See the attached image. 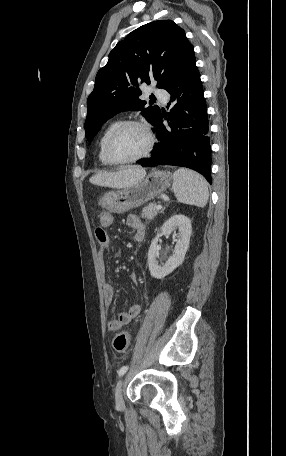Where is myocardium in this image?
I'll return each instance as SVG.
<instances>
[{"instance_id": "f54148a6", "label": "myocardium", "mask_w": 286, "mask_h": 456, "mask_svg": "<svg viewBox=\"0 0 286 456\" xmlns=\"http://www.w3.org/2000/svg\"><path fill=\"white\" fill-rule=\"evenodd\" d=\"M131 126L140 127L145 131L147 138H148L147 148L141 155H139L135 158L128 159V160H118L112 155V152H111V147H112L113 141L115 140V138L117 137V135L120 132H122L124 129L131 127ZM155 141L156 140H155L154 133L148 123H146L144 121H140V120H125V121H122L108 136L106 143H105V148H104L105 157L111 165H128V164L136 163V162H139V161L145 159L146 157H148L151 154V152L153 151L154 146H155Z\"/></svg>"}]
</instances>
